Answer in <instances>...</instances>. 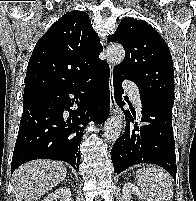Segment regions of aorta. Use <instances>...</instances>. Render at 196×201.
Wrapping results in <instances>:
<instances>
[{
  "instance_id": "1",
  "label": "aorta",
  "mask_w": 196,
  "mask_h": 201,
  "mask_svg": "<svg viewBox=\"0 0 196 201\" xmlns=\"http://www.w3.org/2000/svg\"><path fill=\"white\" fill-rule=\"evenodd\" d=\"M107 61L113 65H119L124 57L125 50L119 44H112L106 50ZM123 128L122 119L119 116L109 118L104 126V138L107 141L114 142L121 134Z\"/></svg>"
}]
</instances>
